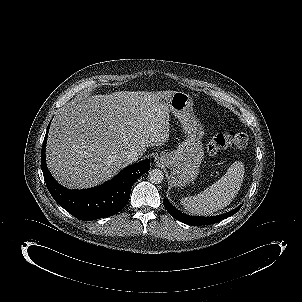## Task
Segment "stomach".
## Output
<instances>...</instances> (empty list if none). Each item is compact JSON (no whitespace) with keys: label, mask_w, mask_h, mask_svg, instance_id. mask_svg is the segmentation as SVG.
Instances as JSON below:
<instances>
[{"label":"stomach","mask_w":302,"mask_h":302,"mask_svg":"<svg viewBox=\"0 0 302 302\" xmlns=\"http://www.w3.org/2000/svg\"><path fill=\"white\" fill-rule=\"evenodd\" d=\"M169 111L180 120L186 140L170 152H163L157 161L171 170L174 186L182 187L194 181L204 160L203 128L193 114V99L185 92H175L169 102Z\"/></svg>","instance_id":"obj_1"}]
</instances>
